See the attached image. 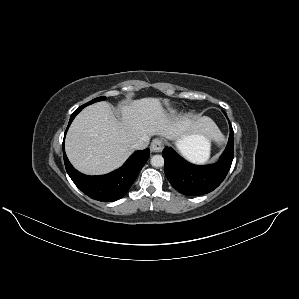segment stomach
<instances>
[{
    "instance_id": "stomach-1",
    "label": "stomach",
    "mask_w": 299,
    "mask_h": 299,
    "mask_svg": "<svg viewBox=\"0 0 299 299\" xmlns=\"http://www.w3.org/2000/svg\"><path fill=\"white\" fill-rule=\"evenodd\" d=\"M177 147L185 155H196L209 144L207 137L200 133L181 135L176 141Z\"/></svg>"
}]
</instances>
